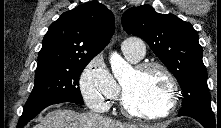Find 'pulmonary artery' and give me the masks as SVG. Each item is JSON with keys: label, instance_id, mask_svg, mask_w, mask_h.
Instances as JSON below:
<instances>
[{"label": "pulmonary artery", "instance_id": "obj_1", "mask_svg": "<svg viewBox=\"0 0 221 128\" xmlns=\"http://www.w3.org/2000/svg\"><path fill=\"white\" fill-rule=\"evenodd\" d=\"M145 42L139 37H127L122 42V51L134 61L140 60L145 55Z\"/></svg>", "mask_w": 221, "mask_h": 128}]
</instances>
